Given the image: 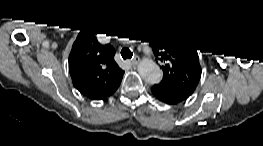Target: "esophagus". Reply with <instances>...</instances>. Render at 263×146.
I'll use <instances>...</instances> for the list:
<instances>
[{
    "instance_id": "34e87169",
    "label": "esophagus",
    "mask_w": 263,
    "mask_h": 146,
    "mask_svg": "<svg viewBox=\"0 0 263 146\" xmlns=\"http://www.w3.org/2000/svg\"><path fill=\"white\" fill-rule=\"evenodd\" d=\"M140 62V58L138 56L134 57L132 60H131V64L133 66H137Z\"/></svg>"
}]
</instances>
